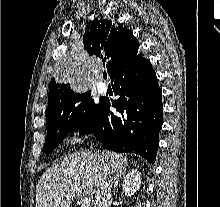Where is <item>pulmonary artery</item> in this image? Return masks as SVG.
Listing matches in <instances>:
<instances>
[{"instance_id":"1","label":"pulmonary artery","mask_w":220,"mask_h":207,"mask_svg":"<svg viewBox=\"0 0 220 207\" xmlns=\"http://www.w3.org/2000/svg\"><path fill=\"white\" fill-rule=\"evenodd\" d=\"M98 91H99V93H101V94L105 93V92H106L105 86H99V87H98Z\"/></svg>"}]
</instances>
